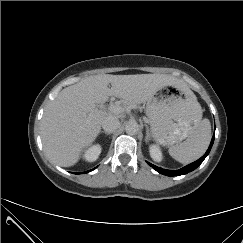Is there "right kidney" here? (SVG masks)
<instances>
[{
	"label": "right kidney",
	"mask_w": 243,
	"mask_h": 243,
	"mask_svg": "<svg viewBox=\"0 0 243 243\" xmlns=\"http://www.w3.org/2000/svg\"><path fill=\"white\" fill-rule=\"evenodd\" d=\"M101 146L99 144L92 145L88 149L85 150L83 154V158L88 162H94L99 158L101 154Z\"/></svg>",
	"instance_id": "right-kidney-1"
}]
</instances>
